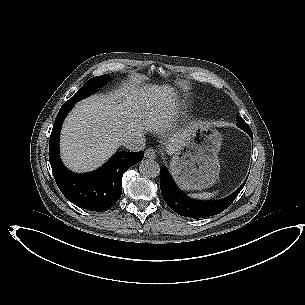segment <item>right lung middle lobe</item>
Returning a JSON list of instances; mask_svg holds the SVG:
<instances>
[{
	"instance_id": "right-lung-middle-lobe-1",
	"label": "right lung middle lobe",
	"mask_w": 305,
	"mask_h": 305,
	"mask_svg": "<svg viewBox=\"0 0 305 305\" xmlns=\"http://www.w3.org/2000/svg\"><path fill=\"white\" fill-rule=\"evenodd\" d=\"M110 80L108 75L97 76L92 79H89L80 89L79 91L68 101L71 103H76L89 95L95 93L99 87L104 85L106 82Z\"/></svg>"
}]
</instances>
